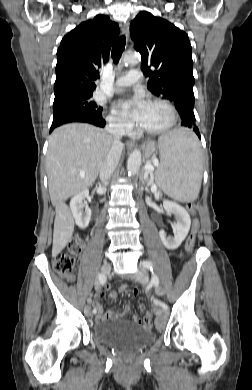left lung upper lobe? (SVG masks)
<instances>
[{
  "label": "left lung upper lobe",
  "mask_w": 252,
  "mask_h": 390,
  "mask_svg": "<svg viewBox=\"0 0 252 390\" xmlns=\"http://www.w3.org/2000/svg\"><path fill=\"white\" fill-rule=\"evenodd\" d=\"M130 34L142 56L141 70L149 77L148 89L172 101L179 114L183 110L193 113V60L188 35L146 11L131 22Z\"/></svg>",
  "instance_id": "1"
}]
</instances>
